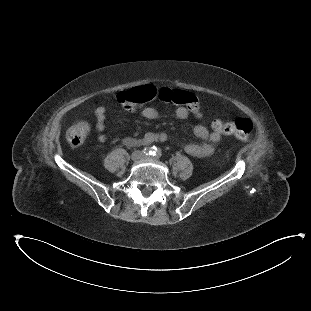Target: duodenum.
<instances>
[{
  "label": "duodenum",
  "mask_w": 311,
  "mask_h": 311,
  "mask_svg": "<svg viewBox=\"0 0 311 311\" xmlns=\"http://www.w3.org/2000/svg\"><path fill=\"white\" fill-rule=\"evenodd\" d=\"M130 141L134 144V145H140V146H144V145H149L148 142L144 139L141 138H132L130 139Z\"/></svg>",
  "instance_id": "1"
}]
</instances>
